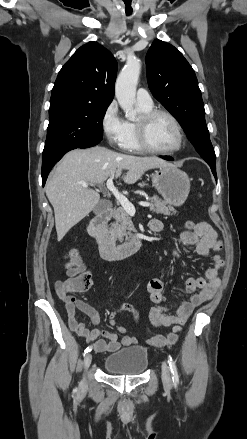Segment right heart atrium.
Here are the masks:
<instances>
[{"instance_id": "right-heart-atrium-1", "label": "right heart atrium", "mask_w": 247, "mask_h": 439, "mask_svg": "<svg viewBox=\"0 0 247 439\" xmlns=\"http://www.w3.org/2000/svg\"><path fill=\"white\" fill-rule=\"evenodd\" d=\"M100 125L109 145L121 147L126 134V121L121 117L116 101L104 109Z\"/></svg>"}]
</instances>
